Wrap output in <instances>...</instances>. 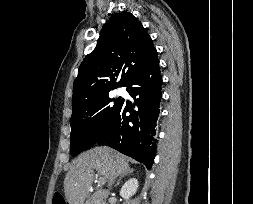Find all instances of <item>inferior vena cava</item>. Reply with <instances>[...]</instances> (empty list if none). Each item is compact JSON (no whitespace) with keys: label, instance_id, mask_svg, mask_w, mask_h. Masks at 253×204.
<instances>
[{"label":"inferior vena cava","instance_id":"602c4592","mask_svg":"<svg viewBox=\"0 0 253 204\" xmlns=\"http://www.w3.org/2000/svg\"><path fill=\"white\" fill-rule=\"evenodd\" d=\"M112 183H113V180L111 179V180L109 181V183H108V186H111Z\"/></svg>","mask_w":253,"mask_h":204}]
</instances>
